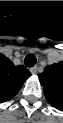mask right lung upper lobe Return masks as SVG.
Wrapping results in <instances>:
<instances>
[{
  "label": "right lung upper lobe",
  "instance_id": "1",
  "mask_svg": "<svg viewBox=\"0 0 63 123\" xmlns=\"http://www.w3.org/2000/svg\"><path fill=\"white\" fill-rule=\"evenodd\" d=\"M0 70V101L5 102L17 94L31 73L24 66H15L5 56H2Z\"/></svg>",
  "mask_w": 63,
  "mask_h": 123
}]
</instances>
